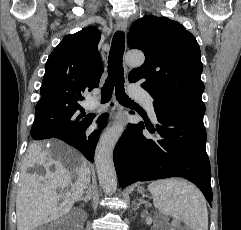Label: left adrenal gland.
<instances>
[{
	"label": "left adrenal gland",
	"mask_w": 241,
	"mask_h": 230,
	"mask_svg": "<svg viewBox=\"0 0 241 230\" xmlns=\"http://www.w3.org/2000/svg\"><path fill=\"white\" fill-rule=\"evenodd\" d=\"M142 203H143L142 199H139V203L134 207V210L138 209Z\"/></svg>",
	"instance_id": "left-adrenal-gland-1"
}]
</instances>
